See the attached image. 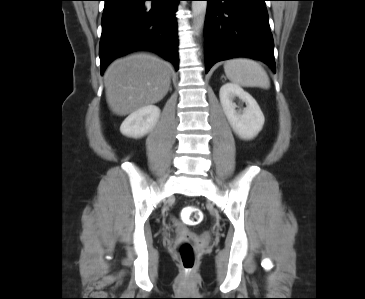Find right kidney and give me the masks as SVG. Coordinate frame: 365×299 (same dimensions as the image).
Segmentation results:
<instances>
[{
  "label": "right kidney",
  "mask_w": 365,
  "mask_h": 299,
  "mask_svg": "<svg viewBox=\"0 0 365 299\" xmlns=\"http://www.w3.org/2000/svg\"><path fill=\"white\" fill-rule=\"evenodd\" d=\"M160 116V109L147 105L131 113L121 124L120 132L128 137L139 138L154 128Z\"/></svg>",
  "instance_id": "ca27d5eb"
}]
</instances>
